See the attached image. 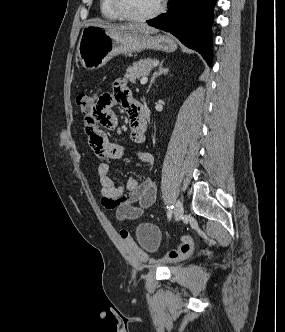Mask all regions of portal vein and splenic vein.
<instances>
[{
    "mask_svg": "<svg viewBox=\"0 0 285 332\" xmlns=\"http://www.w3.org/2000/svg\"><path fill=\"white\" fill-rule=\"evenodd\" d=\"M154 64H156V62H155ZM147 81H148L147 76H144V77L141 78L140 83H141L142 85H144V84L147 83Z\"/></svg>",
    "mask_w": 285,
    "mask_h": 332,
    "instance_id": "18ae733b",
    "label": "portal vein and splenic vein"
}]
</instances>
